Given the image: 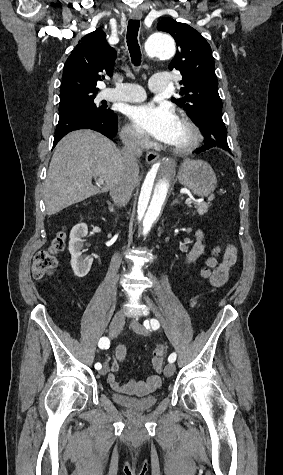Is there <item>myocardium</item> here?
I'll list each match as a JSON object with an SVG mask.
<instances>
[{
	"label": "myocardium",
	"mask_w": 283,
	"mask_h": 475,
	"mask_svg": "<svg viewBox=\"0 0 283 475\" xmlns=\"http://www.w3.org/2000/svg\"><path fill=\"white\" fill-rule=\"evenodd\" d=\"M179 118L188 132V138L183 145L179 147H172L169 145V148L173 154L184 157L197 149L202 140V132L197 123L186 113L181 111Z\"/></svg>",
	"instance_id": "obj_1"
}]
</instances>
